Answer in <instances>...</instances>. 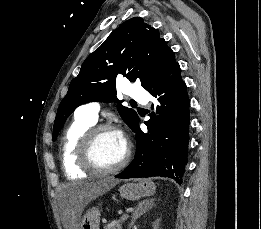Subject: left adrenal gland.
Masks as SVG:
<instances>
[{
    "label": "left adrenal gland",
    "mask_w": 261,
    "mask_h": 229,
    "mask_svg": "<svg viewBox=\"0 0 261 229\" xmlns=\"http://www.w3.org/2000/svg\"><path fill=\"white\" fill-rule=\"evenodd\" d=\"M154 201L155 199H147V201H140V203L136 205V211H133L132 213V219L130 225H128V229H132L136 219H139L143 213H146V211L155 207Z\"/></svg>",
    "instance_id": "left-adrenal-gland-1"
}]
</instances>
